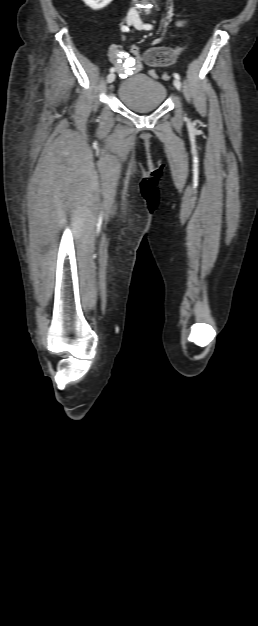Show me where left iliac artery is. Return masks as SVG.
<instances>
[{"label": "left iliac artery", "mask_w": 258, "mask_h": 626, "mask_svg": "<svg viewBox=\"0 0 258 626\" xmlns=\"http://www.w3.org/2000/svg\"><path fill=\"white\" fill-rule=\"evenodd\" d=\"M143 28H144L145 30H151V29H153V26H152L151 24H144V25H143ZM174 77H175L176 79H180V75H179L178 73H174Z\"/></svg>", "instance_id": "obj_1"}]
</instances>
